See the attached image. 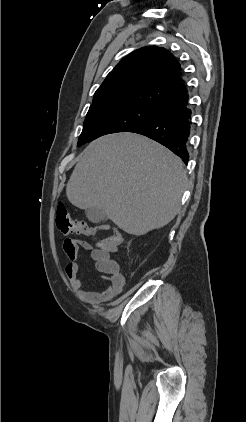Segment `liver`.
<instances>
[{"instance_id":"1","label":"liver","mask_w":246,"mask_h":422,"mask_svg":"<svg viewBox=\"0 0 246 422\" xmlns=\"http://www.w3.org/2000/svg\"><path fill=\"white\" fill-rule=\"evenodd\" d=\"M187 185L182 160L142 135L116 133L91 142L66 185L69 202L101 208L121 230L145 235L172 221Z\"/></svg>"}]
</instances>
